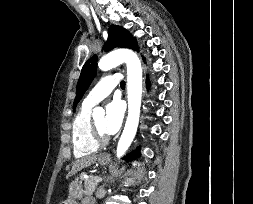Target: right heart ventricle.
<instances>
[{"label":"right heart ventricle","mask_w":253,"mask_h":204,"mask_svg":"<svg viewBox=\"0 0 253 204\" xmlns=\"http://www.w3.org/2000/svg\"><path fill=\"white\" fill-rule=\"evenodd\" d=\"M92 106L82 104L75 116L72 126V143L74 155L78 158L97 152L99 144L94 140L91 129Z\"/></svg>","instance_id":"1"}]
</instances>
